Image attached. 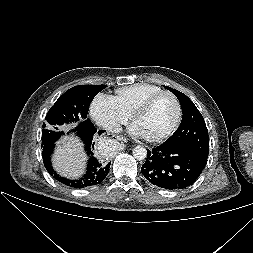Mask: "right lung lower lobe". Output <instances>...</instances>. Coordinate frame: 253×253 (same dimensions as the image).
Returning <instances> with one entry per match:
<instances>
[{
    "label": "right lung lower lobe",
    "mask_w": 253,
    "mask_h": 253,
    "mask_svg": "<svg viewBox=\"0 0 253 253\" xmlns=\"http://www.w3.org/2000/svg\"><path fill=\"white\" fill-rule=\"evenodd\" d=\"M76 131L82 139L85 145V151L88 155L86 172L81 178L75 180L67 179L65 177H61L56 173V171H54L51 164V154L53 153V149L55 147L54 142L42 144L43 163L48 173L53 176V178H55L58 182L66 186L72 188H86L98 185L105 179V177L109 173L111 163H108L106 159L100 158L97 154L94 153V139L105 131H97L92 122L86 127L78 128Z\"/></svg>",
    "instance_id": "obj_1"
}]
</instances>
